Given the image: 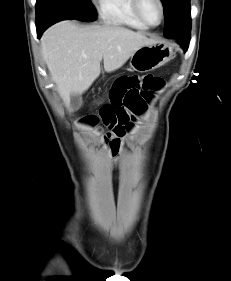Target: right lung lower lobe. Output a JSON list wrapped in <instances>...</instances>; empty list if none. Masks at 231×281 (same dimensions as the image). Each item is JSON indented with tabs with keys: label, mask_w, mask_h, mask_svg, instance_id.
<instances>
[{
	"label": "right lung lower lobe",
	"mask_w": 231,
	"mask_h": 281,
	"mask_svg": "<svg viewBox=\"0 0 231 281\" xmlns=\"http://www.w3.org/2000/svg\"><path fill=\"white\" fill-rule=\"evenodd\" d=\"M66 18L67 16L60 15L57 12H52L49 15L45 16L43 19L36 21L38 38L41 37L44 30L48 28L50 25L60 20H64Z\"/></svg>",
	"instance_id": "obj_1"
}]
</instances>
